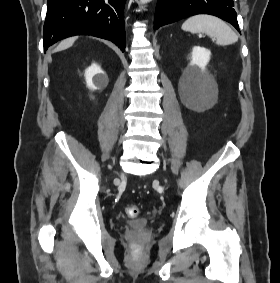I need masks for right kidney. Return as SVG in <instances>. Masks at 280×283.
<instances>
[{
	"label": "right kidney",
	"mask_w": 280,
	"mask_h": 283,
	"mask_svg": "<svg viewBox=\"0 0 280 283\" xmlns=\"http://www.w3.org/2000/svg\"><path fill=\"white\" fill-rule=\"evenodd\" d=\"M86 84L89 89L98 90L107 84V77L97 64H92L85 71Z\"/></svg>",
	"instance_id": "right-kidney-1"
}]
</instances>
